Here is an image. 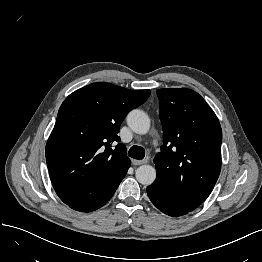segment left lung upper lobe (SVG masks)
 <instances>
[{"mask_svg": "<svg viewBox=\"0 0 262 262\" xmlns=\"http://www.w3.org/2000/svg\"><path fill=\"white\" fill-rule=\"evenodd\" d=\"M163 142L154 188L192 211L210 195L221 170L222 130L205 100L187 88L158 89Z\"/></svg>", "mask_w": 262, "mask_h": 262, "instance_id": "1", "label": "left lung upper lobe"}]
</instances>
